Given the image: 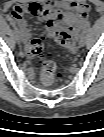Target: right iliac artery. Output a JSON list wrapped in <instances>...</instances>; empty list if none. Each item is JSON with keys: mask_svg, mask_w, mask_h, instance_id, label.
Here are the masks:
<instances>
[{"mask_svg": "<svg viewBox=\"0 0 104 137\" xmlns=\"http://www.w3.org/2000/svg\"><path fill=\"white\" fill-rule=\"evenodd\" d=\"M11 24H12V25H13V27L17 30L16 25H15L13 22H11Z\"/></svg>", "mask_w": 104, "mask_h": 137, "instance_id": "right-iliac-artery-1", "label": "right iliac artery"}]
</instances>
